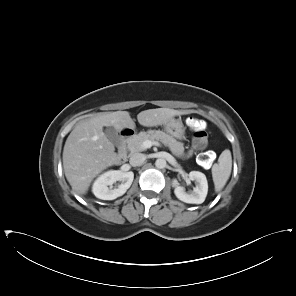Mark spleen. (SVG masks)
Returning <instances> with one entry per match:
<instances>
[{"label":"spleen","mask_w":296,"mask_h":296,"mask_svg":"<svg viewBox=\"0 0 296 296\" xmlns=\"http://www.w3.org/2000/svg\"><path fill=\"white\" fill-rule=\"evenodd\" d=\"M232 170V156L230 150H224L220 157L219 163L213 167V182L215 191L220 192L226 185Z\"/></svg>","instance_id":"3e777b00"}]
</instances>
